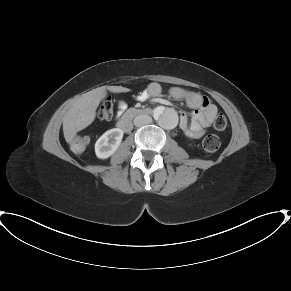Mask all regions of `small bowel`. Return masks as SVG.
<instances>
[{"label":"small bowel","mask_w":291,"mask_h":291,"mask_svg":"<svg viewBox=\"0 0 291 291\" xmlns=\"http://www.w3.org/2000/svg\"><path fill=\"white\" fill-rule=\"evenodd\" d=\"M161 94V88L158 83H151L146 91V94L141 96L156 98ZM169 94L174 99L184 100L186 104L192 109L190 120L186 114H181L180 127L185 131L186 135L192 139L201 138L207 131L208 126L217 115L218 109L215 104L203 94L192 91L184 90L181 88H172ZM123 104L120 109H124Z\"/></svg>","instance_id":"small-bowel-1"}]
</instances>
